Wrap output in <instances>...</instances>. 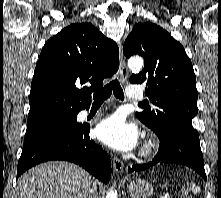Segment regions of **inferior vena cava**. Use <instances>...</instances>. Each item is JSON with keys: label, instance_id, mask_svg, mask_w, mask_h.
Masks as SVG:
<instances>
[{"label": "inferior vena cava", "instance_id": "602c4592", "mask_svg": "<svg viewBox=\"0 0 221 198\" xmlns=\"http://www.w3.org/2000/svg\"><path fill=\"white\" fill-rule=\"evenodd\" d=\"M97 187L95 183L89 184L87 198H96Z\"/></svg>", "mask_w": 221, "mask_h": 198}]
</instances>
